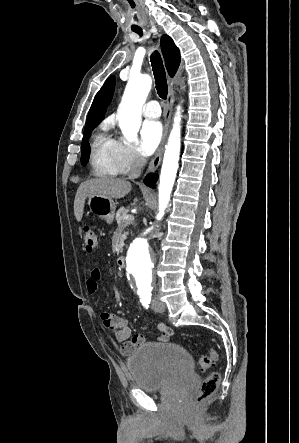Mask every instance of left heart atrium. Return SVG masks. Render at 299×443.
<instances>
[{
	"instance_id": "left-heart-atrium-1",
	"label": "left heart atrium",
	"mask_w": 299,
	"mask_h": 443,
	"mask_svg": "<svg viewBox=\"0 0 299 443\" xmlns=\"http://www.w3.org/2000/svg\"><path fill=\"white\" fill-rule=\"evenodd\" d=\"M163 134L162 124L158 120H146L140 129V150L144 155H151L158 147Z\"/></svg>"
}]
</instances>
